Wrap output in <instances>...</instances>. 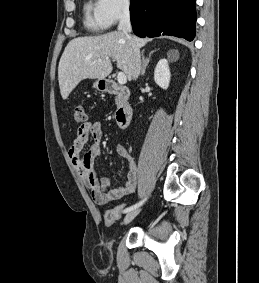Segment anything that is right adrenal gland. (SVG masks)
I'll list each match as a JSON object with an SVG mask.
<instances>
[{
  "mask_svg": "<svg viewBox=\"0 0 259 283\" xmlns=\"http://www.w3.org/2000/svg\"><path fill=\"white\" fill-rule=\"evenodd\" d=\"M156 50L152 51L149 55L148 58H145L144 56V51H142L141 53V58H142V70H141V76H144L145 75V71H146V67L148 65V63L150 62L151 60V57H152V54L155 52Z\"/></svg>",
  "mask_w": 259,
  "mask_h": 283,
  "instance_id": "1",
  "label": "right adrenal gland"
}]
</instances>
